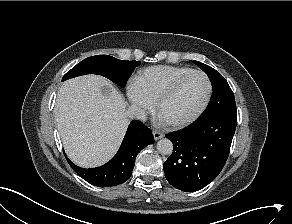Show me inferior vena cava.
Returning <instances> with one entry per match:
<instances>
[{"label": "inferior vena cava", "instance_id": "602c4592", "mask_svg": "<svg viewBox=\"0 0 292 224\" xmlns=\"http://www.w3.org/2000/svg\"><path fill=\"white\" fill-rule=\"evenodd\" d=\"M127 114L130 118L141 120V121H145L147 118L146 112L142 108H140L139 106H137L135 104L130 106Z\"/></svg>", "mask_w": 292, "mask_h": 224}]
</instances>
